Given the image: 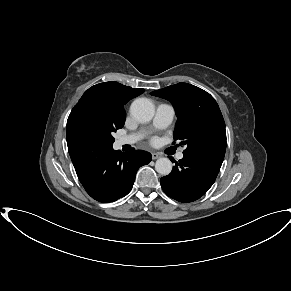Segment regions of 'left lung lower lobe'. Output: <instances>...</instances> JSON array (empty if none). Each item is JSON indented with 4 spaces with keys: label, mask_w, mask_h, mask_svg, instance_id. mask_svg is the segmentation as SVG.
<instances>
[{
    "label": "left lung lower lobe",
    "mask_w": 291,
    "mask_h": 291,
    "mask_svg": "<svg viewBox=\"0 0 291 291\" xmlns=\"http://www.w3.org/2000/svg\"><path fill=\"white\" fill-rule=\"evenodd\" d=\"M172 172L160 180L163 191L171 198L188 203L199 199L213 185L221 161H204L184 155L175 162Z\"/></svg>",
    "instance_id": "left-lung-lower-lobe-1"
}]
</instances>
